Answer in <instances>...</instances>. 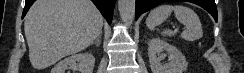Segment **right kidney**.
Listing matches in <instances>:
<instances>
[{"mask_svg": "<svg viewBox=\"0 0 244 73\" xmlns=\"http://www.w3.org/2000/svg\"><path fill=\"white\" fill-rule=\"evenodd\" d=\"M94 64L95 58L91 53L74 54L55 65L51 73H65L69 67L80 73H92Z\"/></svg>", "mask_w": 244, "mask_h": 73, "instance_id": "ca27d5eb", "label": "right kidney"}]
</instances>
